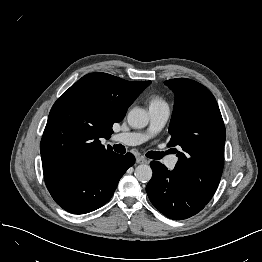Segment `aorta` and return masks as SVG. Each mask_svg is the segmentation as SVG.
<instances>
[{"instance_id":"1","label":"aorta","mask_w":262,"mask_h":262,"mask_svg":"<svg viewBox=\"0 0 262 262\" xmlns=\"http://www.w3.org/2000/svg\"><path fill=\"white\" fill-rule=\"evenodd\" d=\"M128 124L135 129H141L148 125V113L141 108H133L127 116ZM135 177L138 181L146 183L152 178V169L149 165L141 164L135 169Z\"/></svg>"}]
</instances>
